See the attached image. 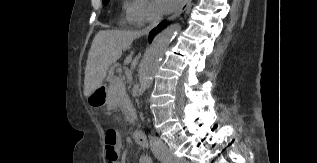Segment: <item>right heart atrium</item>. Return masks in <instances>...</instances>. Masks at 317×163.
I'll return each instance as SVG.
<instances>
[{"label":"right heart atrium","mask_w":317,"mask_h":163,"mask_svg":"<svg viewBox=\"0 0 317 163\" xmlns=\"http://www.w3.org/2000/svg\"><path fill=\"white\" fill-rule=\"evenodd\" d=\"M124 17L132 26H143L155 21L159 13L150 0H126Z\"/></svg>","instance_id":"right-heart-atrium-1"}]
</instances>
